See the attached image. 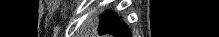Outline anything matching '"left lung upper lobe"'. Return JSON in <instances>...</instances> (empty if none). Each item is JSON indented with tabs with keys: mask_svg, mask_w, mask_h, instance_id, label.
I'll return each mask as SVG.
<instances>
[{
	"mask_svg": "<svg viewBox=\"0 0 219 37\" xmlns=\"http://www.w3.org/2000/svg\"><path fill=\"white\" fill-rule=\"evenodd\" d=\"M117 19V14L114 12L106 11L100 15V25L98 31L100 35L106 33Z\"/></svg>",
	"mask_w": 219,
	"mask_h": 37,
	"instance_id": "obj_1",
	"label": "left lung upper lobe"
}]
</instances>
